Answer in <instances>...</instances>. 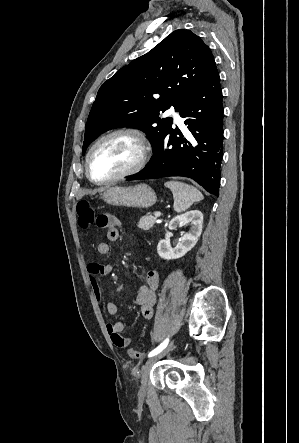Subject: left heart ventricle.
Segmentation results:
<instances>
[{
  "label": "left heart ventricle",
  "mask_w": 299,
  "mask_h": 443,
  "mask_svg": "<svg viewBox=\"0 0 299 443\" xmlns=\"http://www.w3.org/2000/svg\"><path fill=\"white\" fill-rule=\"evenodd\" d=\"M139 156L134 139L117 135L106 139L94 150L91 158L93 178L103 180L113 177L132 166Z\"/></svg>",
  "instance_id": "obj_1"
}]
</instances>
